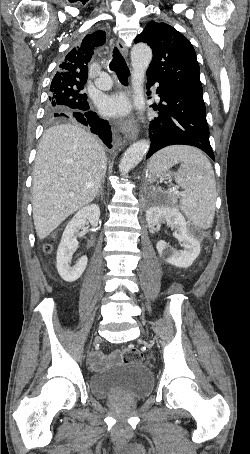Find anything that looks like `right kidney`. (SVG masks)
Returning a JSON list of instances; mask_svg holds the SVG:
<instances>
[{"mask_svg": "<svg viewBox=\"0 0 250 454\" xmlns=\"http://www.w3.org/2000/svg\"><path fill=\"white\" fill-rule=\"evenodd\" d=\"M100 208L96 204L81 208L67 224L57 250V270L66 282H74L83 274L88 258L82 256L76 265L70 266L72 253L78 247L76 233L89 222L93 227L98 225Z\"/></svg>", "mask_w": 250, "mask_h": 454, "instance_id": "right-kidney-1", "label": "right kidney"}]
</instances>
